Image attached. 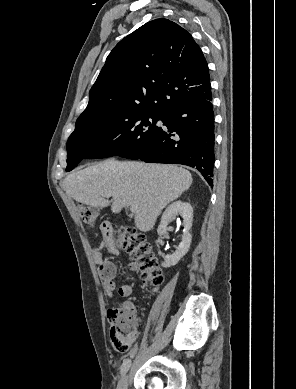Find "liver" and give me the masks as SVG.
I'll list each match as a JSON object with an SVG mask.
<instances>
[{
	"label": "liver",
	"instance_id": "1",
	"mask_svg": "<svg viewBox=\"0 0 296 389\" xmlns=\"http://www.w3.org/2000/svg\"><path fill=\"white\" fill-rule=\"evenodd\" d=\"M191 173L178 166L106 160L70 173L62 188L75 201L91 207L111 204L113 213L134 206L135 226L150 231L161 211L189 189ZM113 197L106 200L104 195Z\"/></svg>",
	"mask_w": 296,
	"mask_h": 389
}]
</instances>
